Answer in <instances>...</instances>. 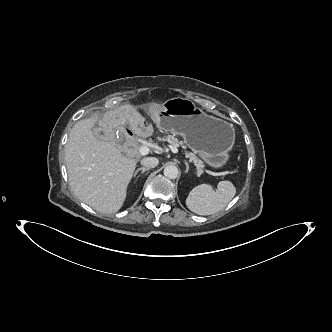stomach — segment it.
<instances>
[{"label": "stomach", "instance_id": "obj_1", "mask_svg": "<svg viewBox=\"0 0 332 332\" xmlns=\"http://www.w3.org/2000/svg\"><path fill=\"white\" fill-rule=\"evenodd\" d=\"M152 118L161 131L181 136L210 166L220 169L227 163L235 141V130L228 122L205 114L181 97L167 100L160 115Z\"/></svg>", "mask_w": 332, "mask_h": 332}]
</instances>
